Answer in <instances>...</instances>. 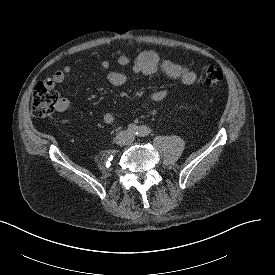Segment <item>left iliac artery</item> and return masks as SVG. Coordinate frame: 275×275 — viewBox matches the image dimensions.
I'll use <instances>...</instances> for the list:
<instances>
[{"instance_id":"1","label":"left iliac artery","mask_w":275,"mask_h":275,"mask_svg":"<svg viewBox=\"0 0 275 275\" xmlns=\"http://www.w3.org/2000/svg\"><path fill=\"white\" fill-rule=\"evenodd\" d=\"M151 129L147 126H140L138 127V132H137V135L138 136H141V137H144V136H147L151 133Z\"/></svg>"}]
</instances>
